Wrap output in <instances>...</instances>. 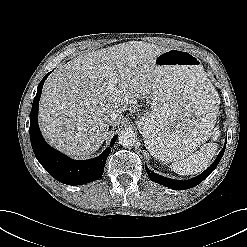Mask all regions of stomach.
Listing matches in <instances>:
<instances>
[{
    "label": "stomach",
    "instance_id": "obj_1",
    "mask_svg": "<svg viewBox=\"0 0 247 247\" xmlns=\"http://www.w3.org/2000/svg\"><path fill=\"white\" fill-rule=\"evenodd\" d=\"M154 69L151 111L137 125L151 155L170 163L184 159L210 137L218 96L200 60L189 51H164Z\"/></svg>",
    "mask_w": 247,
    "mask_h": 247
}]
</instances>
